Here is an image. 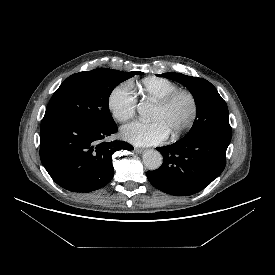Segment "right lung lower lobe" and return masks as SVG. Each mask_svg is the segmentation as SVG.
Listing matches in <instances>:
<instances>
[{
	"instance_id": "obj_1",
	"label": "right lung lower lobe",
	"mask_w": 275,
	"mask_h": 275,
	"mask_svg": "<svg viewBox=\"0 0 275 275\" xmlns=\"http://www.w3.org/2000/svg\"><path fill=\"white\" fill-rule=\"evenodd\" d=\"M117 130L116 124L102 125L68 117L43 119L41 162L51 178L66 190L100 189L113 178V153L133 149L122 141H104Z\"/></svg>"
}]
</instances>
